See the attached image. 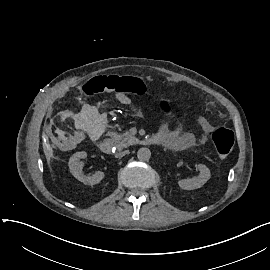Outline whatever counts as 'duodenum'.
Masks as SVG:
<instances>
[{"instance_id": "1", "label": "duodenum", "mask_w": 270, "mask_h": 270, "mask_svg": "<svg viewBox=\"0 0 270 270\" xmlns=\"http://www.w3.org/2000/svg\"><path fill=\"white\" fill-rule=\"evenodd\" d=\"M143 144L146 145H156L160 144V139L157 135H152L150 137H147L143 140ZM112 142L109 139H104L99 143V149L101 152L109 154L112 150Z\"/></svg>"}]
</instances>
